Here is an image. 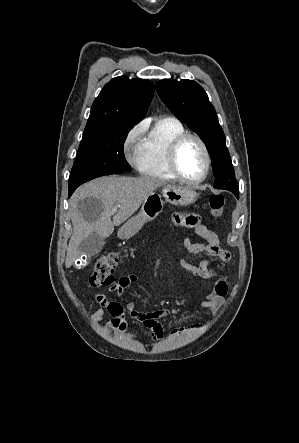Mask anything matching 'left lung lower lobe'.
<instances>
[{
    "label": "left lung lower lobe",
    "instance_id": "left-lung-lower-lobe-1",
    "mask_svg": "<svg viewBox=\"0 0 299 443\" xmlns=\"http://www.w3.org/2000/svg\"><path fill=\"white\" fill-rule=\"evenodd\" d=\"M229 191H231L236 196V198L239 199V192H238V190H229Z\"/></svg>",
    "mask_w": 299,
    "mask_h": 443
}]
</instances>
